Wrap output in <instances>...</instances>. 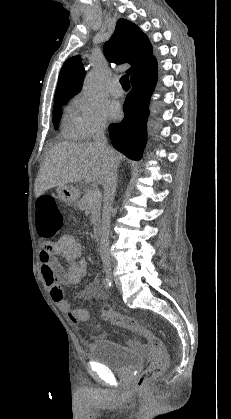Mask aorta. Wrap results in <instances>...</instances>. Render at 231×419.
Here are the masks:
<instances>
[{
	"instance_id": "aorta-1",
	"label": "aorta",
	"mask_w": 231,
	"mask_h": 419,
	"mask_svg": "<svg viewBox=\"0 0 231 419\" xmlns=\"http://www.w3.org/2000/svg\"><path fill=\"white\" fill-rule=\"evenodd\" d=\"M101 79H102L101 72L96 71V70L90 72L84 80L83 89H82L84 95L87 96L88 98H93L100 89Z\"/></svg>"
}]
</instances>
